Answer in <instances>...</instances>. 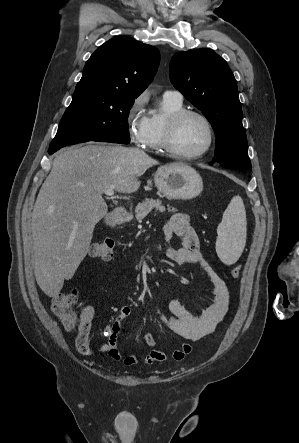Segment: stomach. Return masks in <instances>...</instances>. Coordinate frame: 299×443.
<instances>
[{
	"instance_id": "obj_1",
	"label": "stomach",
	"mask_w": 299,
	"mask_h": 443,
	"mask_svg": "<svg viewBox=\"0 0 299 443\" xmlns=\"http://www.w3.org/2000/svg\"><path fill=\"white\" fill-rule=\"evenodd\" d=\"M156 188L167 198L189 200L203 189L200 174L192 167L173 163L158 168L154 175Z\"/></svg>"
}]
</instances>
